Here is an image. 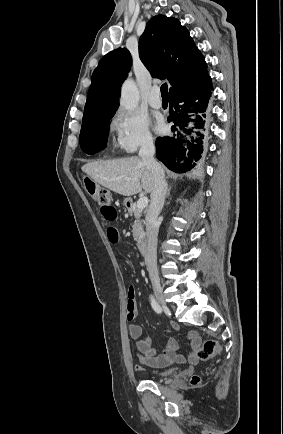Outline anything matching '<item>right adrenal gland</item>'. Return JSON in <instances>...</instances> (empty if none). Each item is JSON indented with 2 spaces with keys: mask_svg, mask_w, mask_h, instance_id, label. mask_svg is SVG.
<instances>
[{
  "mask_svg": "<svg viewBox=\"0 0 283 434\" xmlns=\"http://www.w3.org/2000/svg\"><path fill=\"white\" fill-rule=\"evenodd\" d=\"M170 190H171V187H169V189H168V193H167L168 196L170 195Z\"/></svg>",
  "mask_w": 283,
  "mask_h": 434,
  "instance_id": "2a0ac1e0",
  "label": "right adrenal gland"
}]
</instances>
